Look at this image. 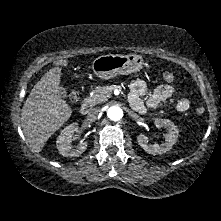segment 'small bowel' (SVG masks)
Masks as SVG:
<instances>
[{
    "mask_svg": "<svg viewBox=\"0 0 221 221\" xmlns=\"http://www.w3.org/2000/svg\"><path fill=\"white\" fill-rule=\"evenodd\" d=\"M147 91V85L142 80H135L130 84L129 102L132 108L140 113H144L147 109L154 110L160 105L168 104L174 96H176L175 107L179 112H186L190 108L188 98L180 96L177 90L170 84L160 85L155 89L153 94L146 100L142 97Z\"/></svg>",
    "mask_w": 221,
    "mask_h": 221,
    "instance_id": "obj_1",
    "label": "small bowel"
}]
</instances>
